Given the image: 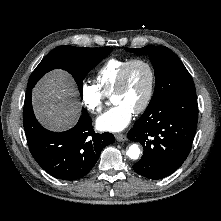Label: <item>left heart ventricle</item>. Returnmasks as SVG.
<instances>
[{
    "label": "left heart ventricle",
    "mask_w": 221,
    "mask_h": 221,
    "mask_svg": "<svg viewBox=\"0 0 221 221\" xmlns=\"http://www.w3.org/2000/svg\"><path fill=\"white\" fill-rule=\"evenodd\" d=\"M149 87V73L142 64L133 65L127 75L124 89L112 96L113 104H124L133 112L141 105Z\"/></svg>",
    "instance_id": "b2bd125f"
}]
</instances>
